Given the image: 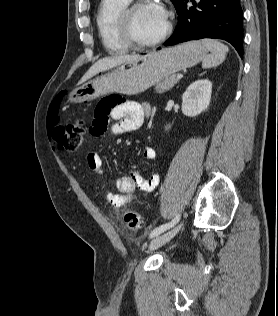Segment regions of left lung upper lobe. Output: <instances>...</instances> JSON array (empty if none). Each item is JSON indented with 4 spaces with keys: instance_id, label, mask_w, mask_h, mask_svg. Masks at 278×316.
Wrapping results in <instances>:
<instances>
[{
    "instance_id": "obj_1",
    "label": "left lung upper lobe",
    "mask_w": 278,
    "mask_h": 316,
    "mask_svg": "<svg viewBox=\"0 0 278 316\" xmlns=\"http://www.w3.org/2000/svg\"><path fill=\"white\" fill-rule=\"evenodd\" d=\"M171 1L173 2L174 6L176 7L181 0H171Z\"/></svg>"
}]
</instances>
